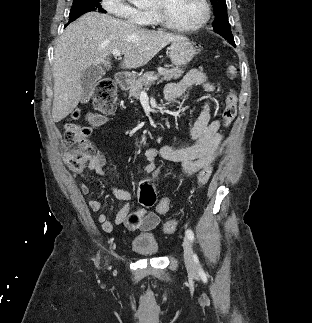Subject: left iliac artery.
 <instances>
[{
	"instance_id": "obj_1",
	"label": "left iliac artery",
	"mask_w": 312,
	"mask_h": 323,
	"mask_svg": "<svg viewBox=\"0 0 312 323\" xmlns=\"http://www.w3.org/2000/svg\"><path fill=\"white\" fill-rule=\"evenodd\" d=\"M186 235H187V237H188L191 241H193V240H194V233H193V231H192L191 229H188V230L186 231Z\"/></svg>"
}]
</instances>
